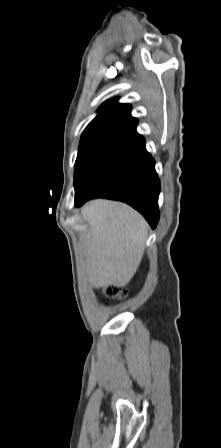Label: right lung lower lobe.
I'll use <instances>...</instances> for the list:
<instances>
[{
  "label": "right lung lower lobe",
  "mask_w": 221,
  "mask_h": 448,
  "mask_svg": "<svg viewBox=\"0 0 221 448\" xmlns=\"http://www.w3.org/2000/svg\"><path fill=\"white\" fill-rule=\"evenodd\" d=\"M159 193L155 161L146 151L143 136L136 134L113 148L98 164L75 196V206L97 197L120 200L137 209L155 228Z\"/></svg>",
  "instance_id": "98d812e1"
}]
</instances>
